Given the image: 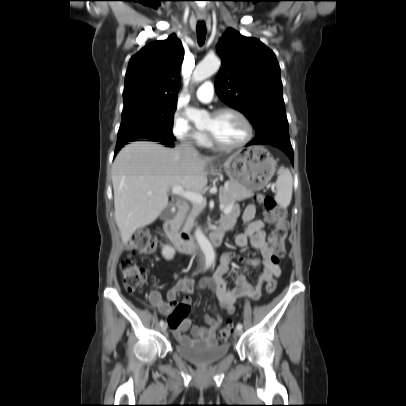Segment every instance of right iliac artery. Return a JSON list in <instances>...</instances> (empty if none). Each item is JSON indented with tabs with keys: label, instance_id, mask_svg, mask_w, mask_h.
<instances>
[{
	"label": "right iliac artery",
	"instance_id": "right-iliac-artery-1",
	"mask_svg": "<svg viewBox=\"0 0 406 406\" xmlns=\"http://www.w3.org/2000/svg\"><path fill=\"white\" fill-rule=\"evenodd\" d=\"M159 324H160V326H162L164 324V321L161 320Z\"/></svg>",
	"mask_w": 406,
	"mask_h": 406
}]
</instances>
